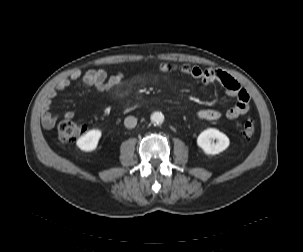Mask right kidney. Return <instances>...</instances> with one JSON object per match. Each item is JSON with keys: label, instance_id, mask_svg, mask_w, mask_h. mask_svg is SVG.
I'll use <instances>...</instances> for the list:
<instances>
[{"label": "right kidney", "instance_id": "1", "mask_svg": "<svg viewBox=\"0 0 303 252\" xmlns=\"http://www.w3.org/2000/svg\"><path fill=\"white\" fill-rule=\"evenodd\" d=\"M102 136V132L98 129H93L87 132L86 134L82 135L77 140V146L86 152L94 151L97 146L98 142Z\"/></svg>", "mask_w": 303, "mask_h": 252}]
</instances>
